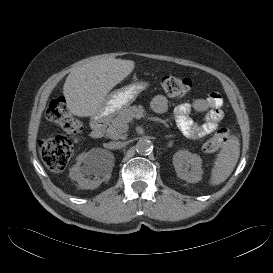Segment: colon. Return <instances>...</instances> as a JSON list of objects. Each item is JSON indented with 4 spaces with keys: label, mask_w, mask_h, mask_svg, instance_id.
<instances>
[{
    "label": "colon",
    "mask_w": 273,
    "mask_h": 273,
    "mask_svg": "<svg viewBox=\"0 0 273 273\" xmlns=\"http://www.w3.org/2000/svg\"><path fill=\"white\" fill-rule=\"evenodd\" d=\"M161 89L169 97H181L191 89V80L184 77L165 76L161 79ZM47 118L60 125L66 132L78 136L82 131L81 123L67 110L64 97L53 99L47 108ZM229 138L227 129L218 130L207 139L203 150L213 152L221 149ZM73 142L63 136L43 139L39 142V153L45 165L53 172L65 169L73 152Z\"/></svg>",
    "instance_id": "5ec220e1"
}]
</instances>
